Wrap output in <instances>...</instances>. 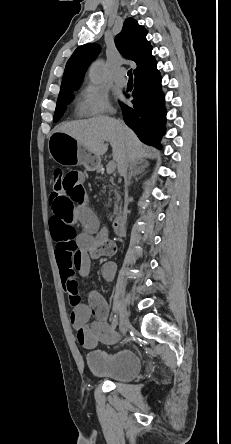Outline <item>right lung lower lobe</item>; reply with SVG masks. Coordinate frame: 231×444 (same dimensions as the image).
I'll return each instance as SVG.
<instances>
[{
	"instance_id": "98d812e1",
	"label": "right lung lower lobe",
	"mask_w": 231,
	"mask_h": 444,
	"mask_svg": "<svg viewBox=\"0 0 231 444\" xmlns=\"http://www.w3.org/2000/svg\"><path fill=\"white\" fill-rule=\"evenodd\" d=\"M132 95L133 107L121 103L125 123L144 143L161 148L166 119L161 76L156 65L135 77Z\"/></svg>"
}]
</instances>
